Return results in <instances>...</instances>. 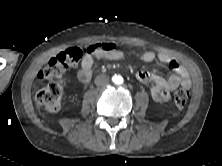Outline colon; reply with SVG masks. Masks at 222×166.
<instances>
[{"mask_svg": "<svg viewBox=\"0 0 222 166\" xmlns=\"http://www.w3.org/2000/svg\"><path fill=\"white\" fill-rule=\"evenodd\" d=\"M114 48L113 44L103 43L92 45L88 48L72 47L68 48L55 57L51 58L45 67L39 72V77L49 81V84L38 91L36 101L49 112H56L60 109L62 103L63 88L65 80L62 77L63 72L76 66L86 55H93L100 50L107 51ZM187 90L181 88L174 94V102L178 107H183L188 101Z\"/></svg>", "mask_w": 222, "mask_h": 166, "instance_id": "colon-1", "label": "colon"}]
</instances>
